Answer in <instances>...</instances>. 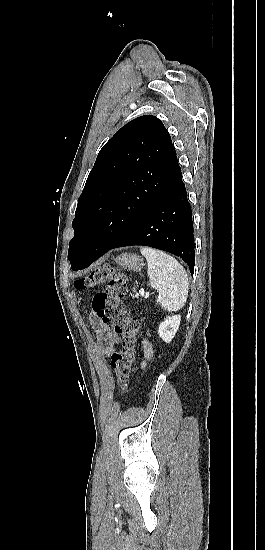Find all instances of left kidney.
I'll return each instance as SVG.
<instances>
[{"label":"left kidney","instance_id":"5707ae66","mask_svg":"<svg viewBox=\"0 0 265 550\" xmlns=\"http://www.w3.org/2000/svg\"><path fill=\"white\" fill-rule=\"evenodd\" d=\"M181 322L180 315L168 316L162 321L158 328L159 337L169 343L174 338Z\"/></svg>","mask_w":265,"mask_h":550}]
</instances>
